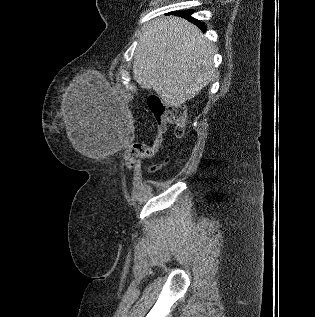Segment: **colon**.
<instances>
[{
  "label": "colon",
  "instance_id": "colon-1",
  "mask_svg": "<svg viewBox=\"0 0 315 317\" xmlns=\"http://www.w3.org/2000/svg\"><path fill=\"white\" fill-rule=\"evenodd\" d=\"M148 105L157 123V134L151 143H135L128 148L127 161L130 163L156 155L161 149L168 126L175 127V134L179 138L186 132L188 116L185 107L166 106L157 98H150ZM157 168L158 166H153L154 170Z\"/></svg>",
  "mask_w": 315,
  "mask_h": 317
}]
</instances>
